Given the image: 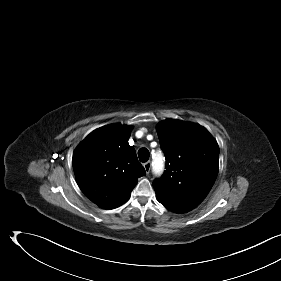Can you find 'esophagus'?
<instances>
[{
  "label": "esophagus",
  "mask_w": 281,
  "mask_h": 281,
  "mask_svg": "<svg viewBox=\"0 0 281 281\" xmlns=\"http://www.w3.org/2000/svg\"><path fill=\"white\" fill-rule=\"evenodd\" d=\"M143 166H144V169H145L146 173L148 174L150 172V169H151L150 161L144 163Z\"/></svg>",
  "instance_id": "34e87169"
}]
</instances>
